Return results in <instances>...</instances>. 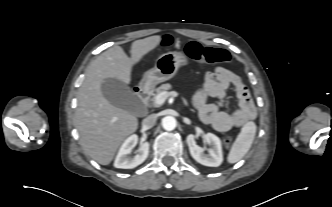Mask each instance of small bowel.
<instances>
[{"mask_svg": "<svg viewBox=\"0 0 332 207\" xmlns=\"http://www.w3.org/2000/svg\"><path fill=\"white\" fill-rule=\"evenodd\" d=\"M228 89L233 90L239 100V109L231 113L222 110ZM209 98L217 101L210 103ZM192 103L200 119L219 132L239 127L256 116L247 86L238 75L221 67L205 73L203 88L194 95Z\"/></svg>", "mask_w": 332, "mask_h": 207, "instance_id": "1", "label": "small bowel"}]
</instances>
